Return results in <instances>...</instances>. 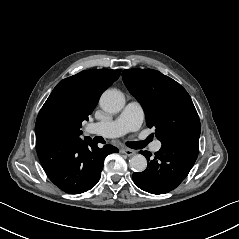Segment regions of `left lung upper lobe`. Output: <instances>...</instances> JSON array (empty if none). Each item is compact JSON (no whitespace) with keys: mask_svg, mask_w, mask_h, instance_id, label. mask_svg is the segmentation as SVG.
<instances>
[{"mask_svg":"<svg viewBox=\"0 0 239 239\" xmlns=\"http://www.w3.org/2000/svg\"><path fill=\"white\" fill-rule=\"evenodd\" d=\"M122 78L141 103L149 128H156L161 143L199 141L200 120L187 91L170 77L153 69H128Z\"/></svg>","mask_w":239,"mask_h":239,"instance_id":"1","label":"left lung upper lobe"}]
</instances>
